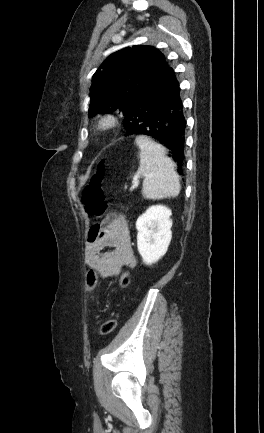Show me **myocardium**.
I'll use <instances>...</instances> for the list:
<instances>
[{"instance_id":"obj_1","label":"myocardium","mask_w":264,"mask_h":433,"mask_svg":"<svg viewBox=\"0 0 264 433\" xmlns=\"http://www.w3.org/2000/svg\"><path fill=\"white\" fill-rule=\"evenodd\" d=\"M118 125V118L114 114L107 113L102 115L93 124L92 130L96 134H103L113 130Z\"/></svg>"}]
</instances>
